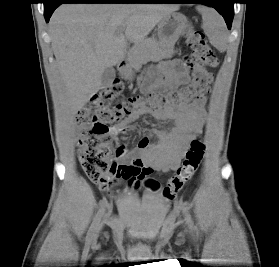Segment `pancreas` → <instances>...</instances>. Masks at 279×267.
<instances>
[{"mask_svg":"<svg viewBox=\"0 0 279 267\" xmlns=\"http://www.w3.org/2000/svg\"><path fill=\"white\" fill-rule=\"evenodd\" d=\"M172 49H162L154 38H147L135 44L130 50L131 64L134 68H140L148 61H157L165 57H171Z\"/></svg>","mask_w":279,"mask_h":267,"instance_id":"cf45deb5","label":"pancreas"}]
</instances>
